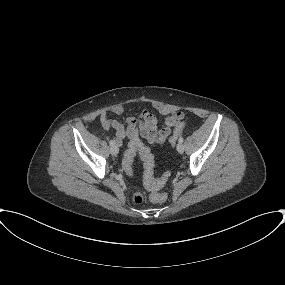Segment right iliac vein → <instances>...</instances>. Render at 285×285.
<instances>
[{"label":"right iliac vein","mask_w":285,"mask_h":285,"mask_svg":"<svg viewBox=\"0 0 285 285\" xmlns=\"http://www.w3.org/2000/svg\"><path fill=\"white\" fill-rule=\"evenodd\" d=\"M118 152H119V148H118L117 145L111 146V148H110V153H111L112 155L116 156V155L118 154Z\"/></svg>","instance_id":"1"}]
</instances>
